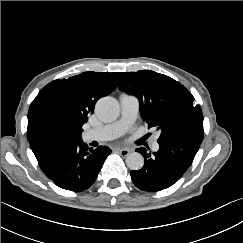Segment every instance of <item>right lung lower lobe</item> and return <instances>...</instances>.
I'll return each instance as SVG.
<instances>
[{"label":"right lung lower lobe","mask_w":243,"mask_h":243,"mask_svg":"<svg viewBox=\"0 0 243 243\" xmlns=\"http://www.w3.org/2000/svg\"><path fill=\"white\" fill-rule=\"evenodd\" d=\"M38 164L58 187L70 191L88 189L110 154L104 146L87 150L86 143L60 133L41 131L28 136Z\"/></svg>","instance_id":"obj_1"}]
</instances>
